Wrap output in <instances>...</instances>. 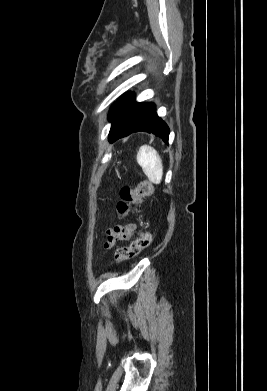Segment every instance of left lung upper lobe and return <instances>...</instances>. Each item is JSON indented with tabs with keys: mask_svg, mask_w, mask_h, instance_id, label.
Wrapping results in <instances>:
<instances>
[{
	"mask_svg": "<svg viewBox=\"0 0 267 391\" xmlns=\"http://www.w3.org/2000/svg\"><path fill=\"white\" fill-rule=\"evenodd\" d=\"M128 95V93L124 94L122 97H120L118 99V101L112 106L111 110H110V113H109V120L112 119L117 107L119 106V104L123 101V99Z\"/></svg>",
	"mask_w": 267,
	"mask_h": 391,
	"instance_id": "1",
	"label": "left lung upper lobe"
}]
</instances>
